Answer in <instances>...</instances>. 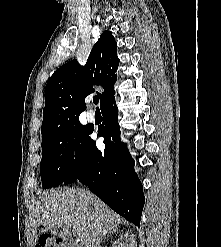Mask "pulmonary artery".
Returning a JSON list of instances; mask_svg holds the SVG:
<instances>
[{
  "label": "pulmonary artery",
  "instance_id": "e3ab8cb5",
  "mask_svg": "<svg viewBox=\"0 0 221 247\" xmlns=\"http://www.w3.org/2000/svg\"><path fill=\"white\" fill-rule=\"evenodd\" d=\"M86 116H87V119L89 121H94L95 120V114H94V112L92 110H88L86 112Z\"/></svg>",
  "mask_w": 221,
  "mask_h": 247
}]
</instances>
